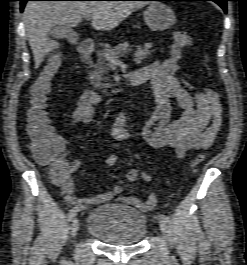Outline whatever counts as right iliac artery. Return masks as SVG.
Returning a JSON list of instances; mask_svg holds the SVG:
<instances>
[{
	"mask_svg": "<svg viewBox=\"0 0 247 265\" xmlns=\"http://www.w3.org/2000/svg\"><path fill=\"white\" fill-rule=\"evenodd\" d=\"M88 207L87 204L85 205H80V206H77V207H74L72 208L69 213H68V220L71 221L79 211L83 210V209H86Z\"/></svg>",
	"mask_w": 247,
	"mask_h": 265,
	"instance_id": "1",
	"label": "right iliac artery"
}]
</instances>
